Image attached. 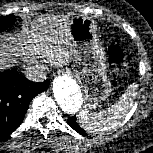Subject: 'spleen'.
<instances>
[{
    "label": "spleen",
    "mask_w": 153,
    "mask_h": 153,
    "mask_svg": "<svg viewBox=\"0 0 153 153\" xmlns=\"http://www.w3.org/2000/svg\"><path fill=\"white\" fill-rule=\"evenodd\" d=\"M136 84H131L126 92L122 94L119 101L106 110L89 113L83 109L79 114V123L87 131L100 134L117 127L121 120L127 115L135 99Z\"/></svg>",
    "instance_id": "obj_1"
}]
</instances>
